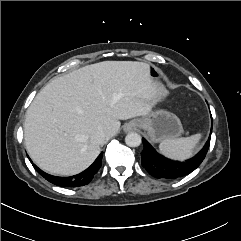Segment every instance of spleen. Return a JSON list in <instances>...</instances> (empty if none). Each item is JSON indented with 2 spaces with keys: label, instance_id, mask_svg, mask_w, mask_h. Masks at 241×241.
Returning <instances> with one entry per match:
<instances>
[{
  "label": "spleen",
  "instance_id": "obj_1",
  "mask_svg": "<svg viewBox=\"0 0 241 241\" xmlns=\"http://www.w3.org/2000/svg\"><path fill=\"white\" fill-rule=\"evenodd\" d=\"M201 139V134L190 137L167 139L160 143L159 149L168 158L183 161L192 156L193 149Z\"/></svg>",
  "mask_w": 241,
  "mask_h": 241
}]
</instances>
